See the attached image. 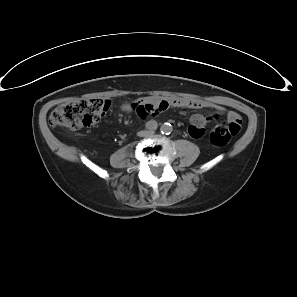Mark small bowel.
Here are the masks:
<instances>
[{
	"label": "small bowel",
	"instance_id": "small-bowel-1",
	"mask_svg": "<svg viewBox=\"0 0 297 297\" xmlns=\"http://www.w3.org/2000/svg\"><path fill=\"white\" fill-rule=\"evenodd\" d=\"M169 107H181L190 109H200V108H212L216 110V114L212 116H205L202 114H194L190 119V126L188 132L193 138H200L204 134L205 126L216 119L220 115L227 113L228 119L236 117L238 114L229 111L222 106L202 101V100H190L184 98L170 99V100H156V99H144L135 103H126L123 105V110L126 112L136 111L140 117H146L148 115H153L158 112H162Z\"/></svg>",
	"mask_w": 297,
	"mask_h": 297
}]
</instances>
